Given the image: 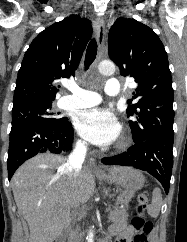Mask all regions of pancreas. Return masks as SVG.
Listing matches in <instances>:
<instances>
[{
  "label": "pancreas",
  "instance_id": "cf45deb5",
  "mask_svg": "<svg viewBox=\"0 0 187 242\" xmlns=\"http://www.w3.org/2000/svg\"><path fill=\"white\" fill-rule=\"evenodd\" d=\"M122 214H125V212H123L122 209H119V208H114L113 210H110V213H109V217L112 221H114L117 217H119L120 215ZM83 233H81L82 235Z\"/></svg>",
  "mask_w": 187,
  "mask_h": 242
}]
</instances>
